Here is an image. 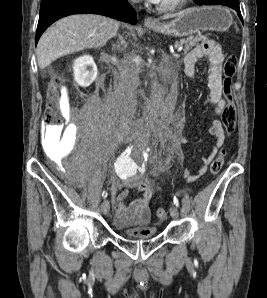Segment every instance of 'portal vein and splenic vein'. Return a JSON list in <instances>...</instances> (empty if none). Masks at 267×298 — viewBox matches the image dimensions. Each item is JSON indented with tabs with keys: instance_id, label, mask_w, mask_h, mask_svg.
I'll use <instances>...</instances> for the list:
<instances>
[{
	"instance_id": "obj_1",
	"label": "portal vein and splenic vein",
	"mask_w": 267,
	"mask_h": 298,
	"mask_svg": "<svg viewBox=\"0 0 267 298\" xmlns=\"http://www.w3.org/2000/svg\"><path fill=\"white\" fill-rule=\"evenodd\" d=\"M182 49H183V46H179V47L177 48V51H178V52H181Z\"/></svg>"
}]
</instances>
